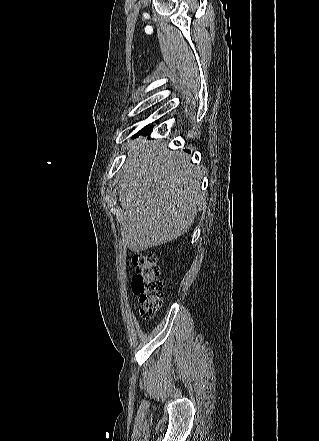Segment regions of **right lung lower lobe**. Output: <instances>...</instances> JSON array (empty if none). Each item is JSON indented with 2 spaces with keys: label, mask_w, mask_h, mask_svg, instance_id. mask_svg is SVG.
I'll list each match as a JSON object with an SVG mask.
<instances>
[{
  "label": "right lung lower lobe",
  "mask_w": 319,
  "mask_h": 441,
  "mask_svg": "<svg viewBox=\"0 0 319 441\" xmlns=\"http://www.w3.org/2000/svg\"><path fill=\"white\" fill-rule=\"evenodd\" d=\"M152 127L146 128L144 129L140 134L142 135H147L150 134Z\"/></svg>",
  "instance_id": "right-lung-lower-lobe-1"
}]
</instances>
